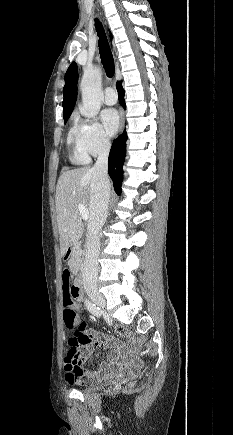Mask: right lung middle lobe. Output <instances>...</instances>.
Returning a JSON list of instances; mask_svg holds the SVG:
<instances>
[{
  "instance_id": "right-lung-middle-lobe-1",
  "label": "right lung middle lobe",
  "mask_w": 233,
  "mask_h": 435,
  "mask_svg": "<svg viewBox=\"0 0 233 435\" xmlns=\"http://www.w3.org/2000/svg\"><path fill=\"white\" fill-rule=\"evenodd\" d=\"M64 117V121H65V123L67 122V120H68V118H69V116H63Z\"/></svg>"
}]
</instances>
